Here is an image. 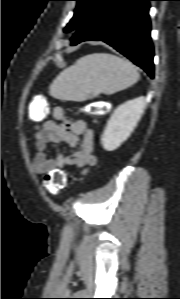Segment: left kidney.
Instances as JSON below:
<instances>
[{
  "instance_id": "left-kidney-1",
  "label": "left kidney",
  "mask_w": 180,
  "mask_h": 299,
  "mask_svg": "<svg viewBox=\"0 0 180 299\" xmlns=\"http://www.w3.org/2000/svg\"><path fill=\"white\" fill-rule=\"evenodd\" d=\"M145 106V98L138 97L116 108L101 137V143L105 150L113 151L128 139L137 126Z\"/></svg>"
}]
</instances>
